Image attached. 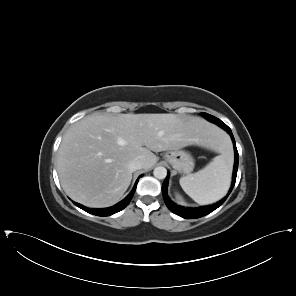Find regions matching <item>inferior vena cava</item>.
<instances>
[{"label":"inferior vena cava","mask_w":296,"mask_h":296,"mask_svg":"<svg viewBox=\"0 0 296 296\" xmlns=\"http://www.w3.org/2000/svg\"><path fill=\"white\" fill-rule=\"evenodd\" d=\"M143 168V164L140 160L138 159H134L132 161H130L128 163V169L131 171V172H134L136 170H139V169H142Z\"/></svg>","instance_id":"inferior-vena-cava-1"}]
</instances>
